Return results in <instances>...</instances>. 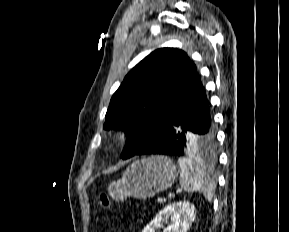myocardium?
Instances as JSON below:
<instances>
[{"instance_id":"1","label":"myocardium","mask_w":289,"mask_h":232,"mask_svg":"<svg viewBox=\"0 0 289 232\" xmlns=\"http://www.w3.org/2000/svg\"><path fill=\"white\" fill-rule=\"evenodd\" d=\"M129 131L127 129H120L117 133V136L120 140H126L129 137Z\"/></svg>"}]
</instances>
